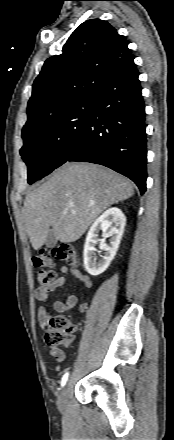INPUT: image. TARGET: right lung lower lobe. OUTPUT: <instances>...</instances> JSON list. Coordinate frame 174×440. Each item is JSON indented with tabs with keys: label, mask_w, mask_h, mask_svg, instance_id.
<instances>
[{
	"label": "right lung lower lobe",
	"mask_w": 174,
	"mask_h": 440,
	"mask_svg": "<svg viewBox=\"0 0 174 440\" xmlns=\"http://www.w3.org/2000/svg\"><path fill=\"white\" fill-rule=\"evenodd\" d=\"M138 76L133 62L94 90L87 128L66 161L109 167L134 181L143 194L147 178V138Z\"/></svg>",
	"instance_id": "1"
}]
</instances>
